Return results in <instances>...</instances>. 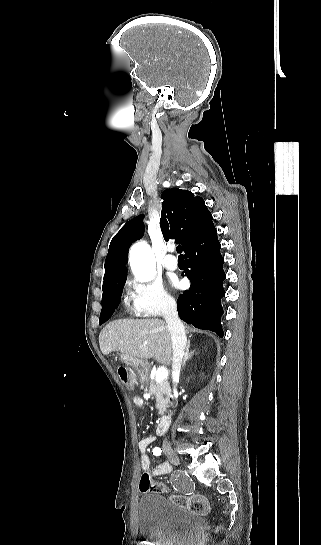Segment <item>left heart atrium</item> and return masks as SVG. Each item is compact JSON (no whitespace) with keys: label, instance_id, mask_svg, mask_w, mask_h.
I'll use <instances>...</instances> for the list:
<instances>
[{"label":"left heart atrium","instance_id":"39dd6f15","mask_svg":"<svg viewBox=\"0 0 321 545\" xmlns=\"http://www.w3.org/2000/svg\"><path fill=\"white\" fill-rule=\"evenodd\" d=\"M173 285H174V286H177V282H173Z\"/></svg>","mask_w":321,"mask_h":545}]
</instances>
